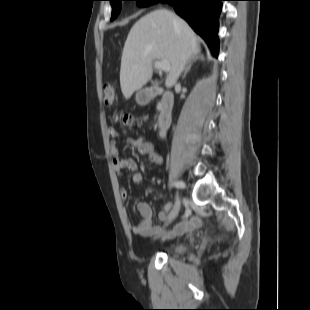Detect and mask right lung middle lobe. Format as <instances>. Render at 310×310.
<instances>
[{
    "mask_svg": "<svg viewBox=\"0 0 310 310\" xmlns=\"http://www.w3.org/2000/svg\"><path fill=\"white\" fill-rule=\"evenodd\" d=\"M112 6V17H111V21L114 20L120 10H121V3L122 1H137L138 5L140 6H146L149 5L150 3L146 2V1H156V0H109Z\"/></svg>",
    "mask_w": 310,
    "mask_h": 310,
    "instance_id": "obj_1",
    "label": "right lung middle lobe"
}]
</instances>
